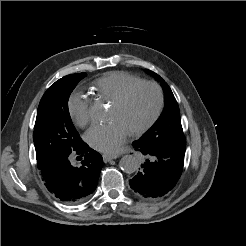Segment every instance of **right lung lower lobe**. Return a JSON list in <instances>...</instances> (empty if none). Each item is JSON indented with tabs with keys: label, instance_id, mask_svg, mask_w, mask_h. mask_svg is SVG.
<instances>
[{
	"label": "right lung lower lobe",
	"instance_id": "obj_1",
	"mask_svg": "<svg viewBox=\"0 0 246 246\" xmlns=\"http://www.w3.org/2000/svg\"><path fill=\"white\" fill-rule=\"evenodd\" d=\"M72 155H78L81 166L72 165ZM103 165L102 156L83 141L70 153L37 163L47 189L66 204H78L90 197Z\"/></svg>",
	"mask_w": 246,
	"mask_h": 246
}]
</instances>
